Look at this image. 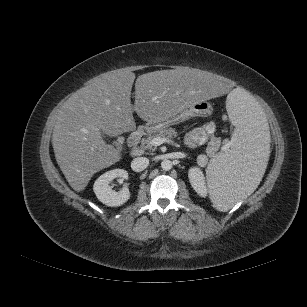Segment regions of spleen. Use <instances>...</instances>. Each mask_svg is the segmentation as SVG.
<instances>
[{
	"mask_svg": "<svg viewBox=\"0 0 307 307\" xmlns=\"http://www.w3.org/2000/svg\"><path fill=\"white\" fill-rule=\"evenodd\" d=\"M226 109L238 131L231 151L213 158L206 170L210 199L221 212L230 210L256 189L273 141L265 114L252 96L232 91Z\"/></svg>",
	"mask_w": 307,
	"mask_h": 307,
	"instance_id": "3e777b00",
	"label": "spleen"
}]
</instances>
